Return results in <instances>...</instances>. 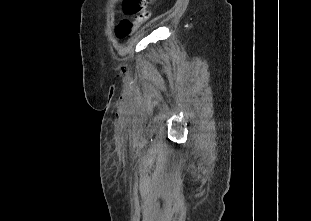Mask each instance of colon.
<instances>
[{"label":"colon","instance_id":"1","mask_svg":"<svg viewBox=\"0 0 311 221\" xmlns=\"http://www.w3.org/2000/svg\"><path fill=\"white\" fill-rule=\"evenodd\" d=\"M150 0H124L123 11L126 16L133 15L130 21H120L116 26L115 33L119 38L126 37L133 29L148 22L151 17L148 4Z\"/></svg>","mask_w":311,"mask_h":221}]
</instances>
